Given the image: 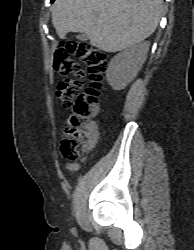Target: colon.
Here are the masks:
<instances>
[{
    "mask_svg": "<svg viewBox=\"0 0 194 250\" xmlns=\"http://www.w3.org/2000/svg\"><path fill=\"white\" fill-rule=\"evenodd\" d=\"M77 60L85 64L90 80L83 91L78 79L82 70ZM107 65L106 54L84 42L68 41L54 54V69L65 77L58 83L56 94L63 107L70 110L66 118L65 138L61 142L62 157L69 163H77L84 156L90 138L88 124L99 110L100 89Z\"/></svg>",
    "mask_w": 194,
    "mask_h": 250,
    "instance_id": "1",
    "label": "colon"
}]
</instances>
